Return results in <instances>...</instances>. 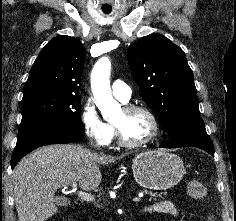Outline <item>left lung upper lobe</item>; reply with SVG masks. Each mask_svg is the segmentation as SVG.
Masks as SVG:
<instances>
[{
    "label": "left lung upper lobe",
    "instance_id": "left-lung-upper-lobe-1",
    "mask_svg": "<svg viewBox=\"0 0 236 221\" xmlns=\"http://www.w3.org/2000/svg\"><path fill=\"white\" fill-rule=\"evenodd\" d=\"M135 82L165 132L204 126L191 68L183 50L161 34L140 38L127 51Z\"/></svg>",
    "mask_w": 236,
    "mask_h": 221
}]
</instances>
